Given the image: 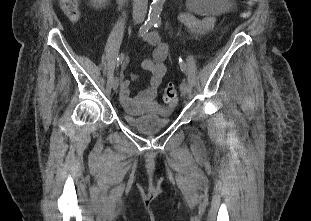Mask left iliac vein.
Segmentation results:
<instances>
[{
    "label": "left iliac vein",
    "mask_w": 311,
    "mask_h": 221,
    "mask_svg": "<svg viewBox=\"0 0 311 221\" xmlns=\"http://www.w3.org/2000/svg\"><path fill=\"white\" fill-rule=\"evenodd\" d=\"M180 91L183 96H186L189 92V86L186 82H182L180 85Z\"/></svg>",
    "instance_id": "4c4485c4"
}]
</instances>
